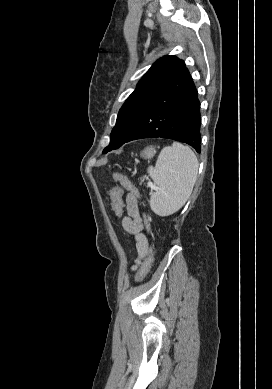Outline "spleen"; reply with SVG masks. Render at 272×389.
Masks as SVG:
<instances>
[{
  "label": "spleen",
  "instance_id": "3e777b00",
  "mask_svg": "<svg viewBox=\"0 0 272 389\" xmlns=\"http://www.w3.org/2000/svg\"><path fill=\"white\" fill-rule=\"evenodd\" d=\"M148 173L157 185L150 207L159 216H169L188 200L197 178L198 159L188 146L174 142L161 150Z\"/></svg>",
  "mask_w": 272,
  "mask_h": 389
}]
</instances>
